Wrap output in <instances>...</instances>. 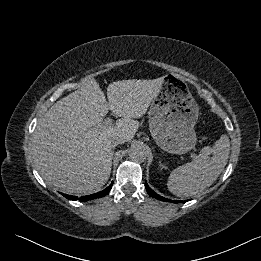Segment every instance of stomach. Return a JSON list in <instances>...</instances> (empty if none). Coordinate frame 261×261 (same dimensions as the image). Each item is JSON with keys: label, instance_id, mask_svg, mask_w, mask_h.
Returning a JSON list of instances; mask_svg holds the SVG:
<instances>
[{"label": "stomach", "instance_id": "obj_1", "mask_svg": "<svg viewBox=\"0 0 261 261\" xmlns=\"http://www.w3.org/2000/svg\"><path fill=\"white\" fill-rule=\"evenodd\" d=\"M162 79L148 112L149 130L160 148L172 154H185L197 142L194 126L199 106L185 79L173 73Z\"/></svg>", "mask_w": 261, "mask_h": 261}]
</instances>
